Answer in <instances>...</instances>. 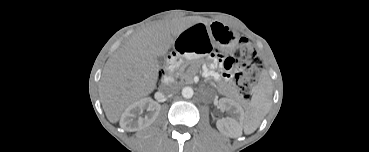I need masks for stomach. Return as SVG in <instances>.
<instances>
[{
    "instance_id": "0dacf381",
    "label": "stomach",
    "mask_w": 369,
    "mask_h": 152,
    "mask_svg": "<svg viewBox=\"0 0 369 152\" xmlns=\"http://www.w3.org/2000/svg\"><path fill=\"white\" fill-rule=\"evenodd\" d=\"M215 24V23H214ZM214 25H211V29L213 31ZM211 37L214 41L217 42V44L224 48V49H230L234 46V42L236 39V36L232 33V30L229 29L226 25H218L217 26V32L211 34Z\"/></svg>"
}]
</instances>
